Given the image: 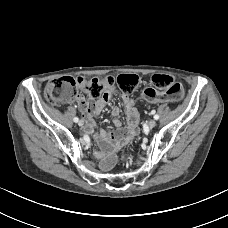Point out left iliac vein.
<instances>
[{
  "mask_svg": "<svg viewBox=\"0 0 228 228\" xmlns=\"http://www.w3.org/2000/svg\"><path fill=\"white\" fill-rule=\"evenodd\" d=\"M148 126H149L150 128L155 127V126H156V121H155L154 119L150 120V121L148 122Z\"/></svg>",
  "mask_w": 228,
  "mask_h": 228,
  "instance_id": "1",
  "label": "left iliac vein"
}]
</instances>
